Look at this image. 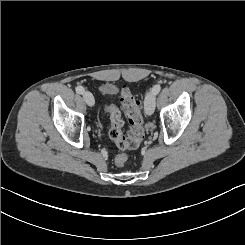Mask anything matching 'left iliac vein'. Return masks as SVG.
Masks as SVG:
<instances>
[{
    "mask_svg": "<svg viewBox=\"0 0 245 245\" xmlns=\"http://www.w3.org/2000/svg\"><path fill=\"white\" fill-rule=\"evenodd\" d=\"M156 94L153 90L149 91L145 97V112L148 116H151L155 109Z\"/></svg>",
    "mask_w": 245,
    "mask_h": 245,
    "instance_id": "left-iliac-vein-1",
    "label": "left iliac vein"
}]
</instances>
